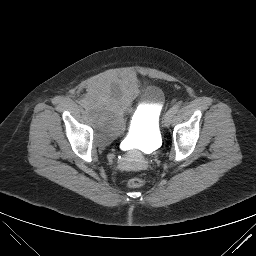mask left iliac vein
I'll list each match as a JSON object with an SVG mask.
<instances>
[{
  "label": "left iliac vein",
  "instance_id": "left-iliac-vein-1",
  "mask_svg": "<svg viewBox=\"0 0 256 256\" xmlns=\"http://www.w3.org/2000/svg\"><path fill=\"white\" fill-rule=\"evenodd\" d=\"M173 116H174V114L170 110L165 114V117H164V126L165 127L170 126Z\"/></svg>",
  "mask_w": 256,
  "mask_h": 256
}]
</instances>
